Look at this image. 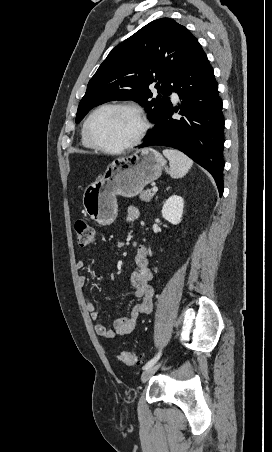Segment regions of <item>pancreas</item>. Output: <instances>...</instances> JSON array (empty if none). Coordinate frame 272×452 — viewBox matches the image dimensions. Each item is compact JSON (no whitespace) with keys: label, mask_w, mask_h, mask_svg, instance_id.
I'll return each instance as SVG.
<instances>
[{"label":"pancreas","mask_w":272,"mask_h":452,"mask_svg":"<svg viewBox=\"0 0 272 452\" xmlns=\"http://www.w3.org/2000/svg\"><path fill=\"white\" fill-rule=\"evenodd\" d=\"M153 196H154V192L152 191V189H147L140 193L139 198L142 201L149 202V201H151Z\"/></svg>","instance_id":"obj_1"}]
</instances>
